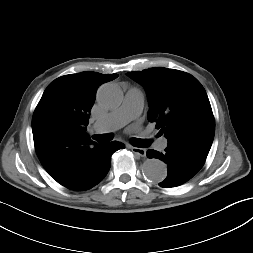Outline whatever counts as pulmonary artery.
<instances>
[{
  "label": "pulmonary artery",
  "instance_id": "1",
  "mask_svg": "<svg viewBox=\"0 0 253 253\" xmlns=\"http://www.w3.org/2000/svg\"><path fill=\"white\" fill-rule=\"evenodd\" d=\"M143 108V94L137 88H130L126 94L122 105L110 112L103 119L98 120L92 126V130L96 133L110 132L118 129L128 122L136 119ZM166 138H160L156 142V149L163 151L167 147Z\"/></svg>",
  "mask_w": 253,
  "mask_h": 253
}]
</instances>
